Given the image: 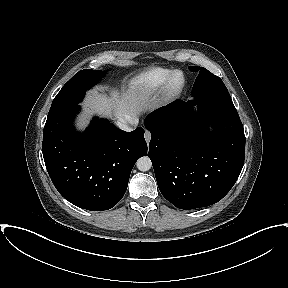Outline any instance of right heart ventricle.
<instances>
[{
  "label": "right heart ventricle",
  "instance_id": "1",
  "mask_svg": "<svg viewBox=\"0 0 288 288\" xmlns=\"http://www.w3.org/2000/svg\"><path fill=\"white\" fill-rule=\"evenodd\" d=\"M172 71L164 68H153L138 75L132 82L133 88L140 92L154 91L161 87Z\"/></svg>",
  "mask_w": 288,
  "mask_h": 288
}]
</instances>
